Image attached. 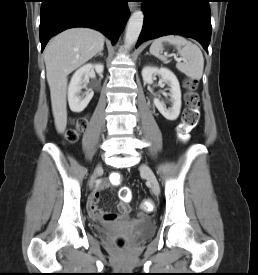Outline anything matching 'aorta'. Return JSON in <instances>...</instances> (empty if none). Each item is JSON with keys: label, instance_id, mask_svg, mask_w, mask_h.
Masks as SVG:
<instances>
[{"label": "aorta", "instance_id": "762f6f07", "mask_svg": "<svg viewBox=\"0 0 258 275\" xmlns=\"http://www.w3.org/2000/svg\"><path fill=\"white\" fill-rule=\"evenodd\" d=\"M143 20L144 14L141 10H136L131 15L125 33V42L127 45L136 43L143 26Z\"/></svg>", "mask_w": 258, "mask_h": 275}]
</instances>
